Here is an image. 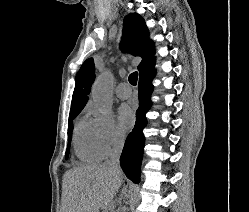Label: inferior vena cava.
Wrapping results in <instances>:
<instances>
[{
  "mask_svg": "<svg viewBox=\"0 0 249 212\" xmlns=\"http://www.w3.org/2000/svg\"><path fill=\"white\" fill-rule=\"evenodd\" d=\"M123 146L124 138H121V140H115L110 152V160H108V164L109 166H112V168H120V156Z\"/></svg>",
  "mask_w": 249,
  "mask_h": 212,
  "instance_id": "inferior-vena-cava-1",
  "label": "inferior vena cava"
}]
</instances>
